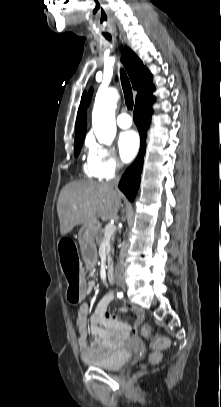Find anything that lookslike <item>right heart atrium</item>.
I'll return each mask as SVG.
<instances>
[{
	"instance_id": "1",
	"label": "right heart atrium",
	"mask_w": 221,
	"mask_h": 407,
	"mask_svg": "<svg viewBox=\"0 0 221 407\" xmlns=\"http://www.w3.org/2000/svg\"><path fill=\"white\" fill-rule=\"evenodd\" d=\"M87 147L89 167L98 178H110L121 168V162L111 149L93 140Z\"/></svg>"
}]
</instances>
